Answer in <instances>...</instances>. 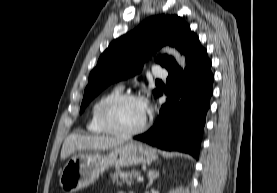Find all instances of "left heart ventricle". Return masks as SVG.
Returning a JSON list of instances; mask_svg holds the SVG:
<instances>
[{
    "mask_svg": "<svg viewBox=\"0 0 277 193\" xmlns=\"http://www.w3.org/2000/svg\"><path fill=\"white\" fill-rule=\"evenodd\" d=\"M146 116V110L139 100H127L117 104L111 111L116 128L128 131L140 126Z\"/></svg>",
    "mask_w": 277,
    "mask_h": 193,
    "instance_id": "b2bd125f",
    "label": "left heart ventricle"
}]
</instances>
